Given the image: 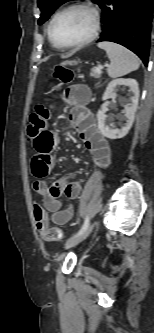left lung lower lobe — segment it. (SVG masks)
Segmentation results:
<instances>
[{
    "mask_svg": "<svg viewBox=\"0 0 154 333\" xmlns=\"http://www.w3.org/2000/svg\"><path fill=\"white\" fill-rule=\"evenodd\" d=\"M103 29L98 42L125 46L148 64L153 0H102Z\"/></svg>",
    "mask_w": 154,
    "mask_h": 333,
    "instance_id": "0a47b994",
    "label": "left lung lower lobe"
}]
</instances>
